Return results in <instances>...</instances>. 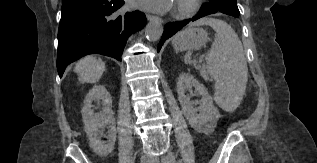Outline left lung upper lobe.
<instances>
[{
  "label": "left lung upper lobe",
  "mask_w": 317,
  "mask_h": 163,
  "mask_svg": "<svg viewBox=\"0 0 317 163\" xmlns=\"http://www.w3.org/2000/svg\"><path fill=\"white\" fill-rule=\"evenodd\" d=\"M202 8L205 10L239 15L236 0H210V2L204 3Z\"/></svg>",
  "instance_id": "5c2ea615"
}]
</instances>
